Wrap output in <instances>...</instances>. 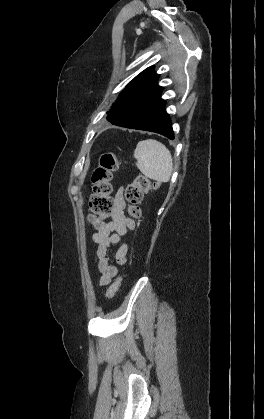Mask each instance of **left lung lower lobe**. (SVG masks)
I'll return each instance as SVG.
<instances>
[{
  "mask_svg": "<svg viewBox=\"0 0 264 419\" xmlns=\"http://www.w3.org/2000/svg\"><path fill=\"white\" fill-rule=\"evenodd\" d=\"M162 90L157 84L148 87L124 112L107 117L108 121L120 127L156 132L174 139L170 117L161 99Z\"/></svg>",
  "mask_w": 264,
  "mask_h": 419,
  "instance_id": "left-lung-lower-lobe-1",
  "label": "left lung lower lobe"
}]
</instances>
